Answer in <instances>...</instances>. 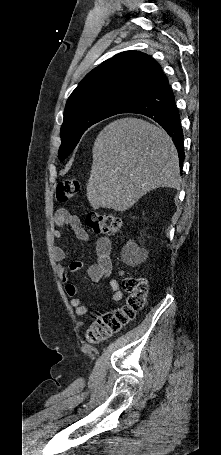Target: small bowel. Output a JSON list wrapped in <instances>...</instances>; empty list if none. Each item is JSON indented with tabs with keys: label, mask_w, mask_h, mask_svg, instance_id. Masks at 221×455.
<instances>
[{
	"label": "small bowel",
	"mask_w": 221,
	"mask_h": 455,
	"mask_svg": "<svg viewBox=\"0 0 221 455\" xmlns=\"http://www.w3.org/2000/svg\"><path fill=\"white\" fill-rule=\"evenodd\" d=\"M54 222L56 227L53 229L52 234L56 239L60 240L62 238L59 228L69 227L75 232L76 236L80 240H89L88 232L84 229L80 219L76 215L69 213L64 209H60L54 217ZM95 246L97 261L87 269V275L93 282L106 280L112 291L111 302H119L122 299L123 294L120 290L118 282L110 277L112 271V260L110 257L111 243L108 238L100 237L96 240ZM52 254L57 261H62L66 258L65 251L59 246L53 247ZM83 267V264L78 261L62 267L60 269V273L63 282H67L68 275L70 273L79 272L83 270ZM65 291L70 297V304L74 308L77 315H85L90 311V308L83 304L82 299L77 296L78 288L75 284L66 283Z\"/></svg>",
	"instance_id": "obj_1"
}]
</instances>
